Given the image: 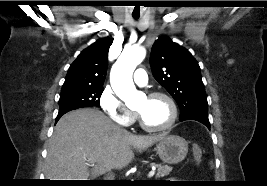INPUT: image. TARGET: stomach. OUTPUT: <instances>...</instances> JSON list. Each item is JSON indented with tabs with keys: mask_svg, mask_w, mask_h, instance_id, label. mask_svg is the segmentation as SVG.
Masks as SVG:
<instances>
[{
	"mask_svg": "<svg viewBox=\"0 0 267 186\" xmlns=\"http://www.w3.org/2000/svg\"><path fill=\"white\" fill-rule=\"evenodd\" d=\"M155 150L164 163L177 164L186 157L188 143L177 135H165L157 142Z\"/></svg>",
	"mask_w": 267,
	"mask_h": 186,
	"instance_id": "0dacf381",
	"label": "stomach"
}]
</instances>
